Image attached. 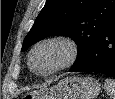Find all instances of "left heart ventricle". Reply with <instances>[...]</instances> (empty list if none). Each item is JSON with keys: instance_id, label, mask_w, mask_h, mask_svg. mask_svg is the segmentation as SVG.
<instances>
[{"instance_id": "b2bd125f", "label": "left heart ventricle", "mask_w": 115, "mask_h": 99, "mask_svg": "<svg viewBox=\"0 0 115 99\" xmlns=\"http://www.w3.org/2000/svg\"><path fill=\"white\" fill-rule=\"evenodd\" d=\"M67 51L60 44H47L40 47L33 56V66L39 72H47L59 66L66 58Z\"/></svg>"}]
</instances>
